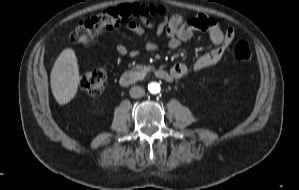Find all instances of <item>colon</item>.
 <instances>
[{"label": "colon", "mask_w": 299, "mask_h": 190, "mask_svg": "<svg viewBox=\"0 0 299 190\" xmlns=\"http://www.w3.org/2000/svg\"><path fill=\"white\" fill-rule=\"evenodd\" d=\"M129 12L130 8H128L127 10L116 8L105 9L90 20L79 25L75 31V36L80 41L93 39L100 33L112 28L117 22L120 21L121 18H124ZM198 25L200 28L207 30L204 20H200L198 22ZM104 79V72L96 71L84 77L82 83L90 94L96 95L99 93Z\"/></svg>", "instance_id": "colon-1"}]
</instances>
